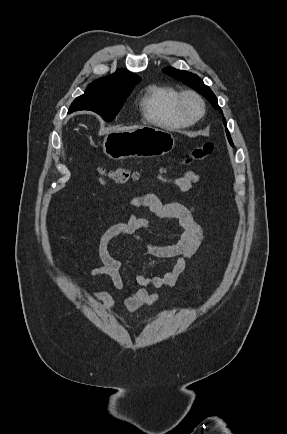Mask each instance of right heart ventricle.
I'll return each mask as SVG.
<instances>
[{
    "mask_svg": "<svg viewBox=\"0 0 287 434\" xmlns=\"http://www.w3.org/2000/svg\"><path fill=\"white\" fill-rule=\"evenodd\" d=\"M178 92L168 86L150 85L142 98L144 116L149 121L168 127H184L190 122L180 116L175 107Z\"/></svg>",
    "mask_w": 287,
    "mask_h": 434,
    "instance_id": "right-heart-ventricle-1",
    "label": "right heart ventricle"
}]
</instances>
